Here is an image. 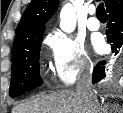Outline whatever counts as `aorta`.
Returning a JSON list of instances; mask_svg holds the SVG:
<instances>
[{"label": "aorta", "instance_id": "762f6f07", "mask_svg": "<svg viewBox=\"0 0 123 113\" xmlns=\"http://www.w3.org/2000/svg\"><path fill=\"white\" fill-rule=\"evenodd\" d=\"M76 27V13L73 6L69 3L65 4L60 12V28L71 33Z\"/></svg>", "mask_w": 123, "mask_h": 113}]
</instances>
